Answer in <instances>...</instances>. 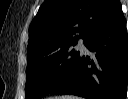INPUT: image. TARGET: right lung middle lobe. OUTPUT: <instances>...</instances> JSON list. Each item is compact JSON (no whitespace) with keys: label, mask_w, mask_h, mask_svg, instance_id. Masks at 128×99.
Instances as JSON below:
<instances>
[{"label":"right lung middle lobe","mask_w":128,"mask_h":99,"mask_svg":"<svg viewBox=\"0 0 128 99\" xmlns=\"http://www.w3.org/2000/svg\"><path fill=\"white\" fill-rule=\"evenodd\" d=\"M77 42L28 58L25 99H37L49 94L76 67L81 54L72 49Z\"/></svg>","instance_id":"dd1d6c3e"}]
</instances>
